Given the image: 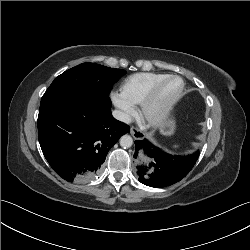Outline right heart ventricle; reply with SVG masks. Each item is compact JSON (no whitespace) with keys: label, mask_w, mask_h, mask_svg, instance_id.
Listing matches in <instances>:
<instances>
[{"label":"right heart ventricle","mask_w":250,"mask_h":250,"mask_svg":"<svg viewBox=\"0 0 250 250\" xmlns=\"http://www.w3.org/2000/svg\"><path fill=\"white\" fill-rule=\"evenodd\" d=\"M166 76L167 74L154 72L132 74L121 83L120 95L133 106L140 104L151 87Z\"/></svg>","instance_id":"1"}]
</instances>
